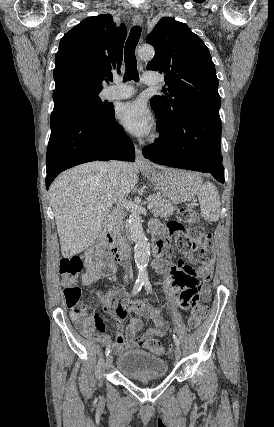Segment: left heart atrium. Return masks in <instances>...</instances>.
<instances>
[{
  "label": "left heart atrium",
  "mask_w": 274,
  "mask_h": 427,
  "mask_svg": "<svg viewBox=\"0 0 274 427\" xmlns=\"http://www.w3.org/2000/svg\"><path fill=\"white\" fill-rule=\"evenodd\" d=\"M116 118L133 135H148L152 129V118L149 110L141 101L119 104Z\"/></svg>",
  "instance_id": "39dd6f15"
}]
</instances>
